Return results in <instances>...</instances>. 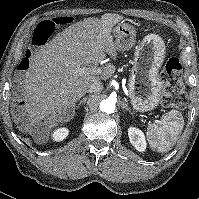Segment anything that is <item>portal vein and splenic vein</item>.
<instances>
[{"label":"portal vein and splenic vein","instance_id":"18ae733b","mask_svg":"<svg viewBox=\"0 0 199 199\" xmlns=\"http://www.w3.org/2000/svg\"><path fill=\"white\" fill-rule=\"evenodd\" d=\"M90 71L93 72V73H96V74L101 72L100 68H98L96 66H91Z\"/></svg>","mask_w":199,"mask_h":199}]
</instances>
